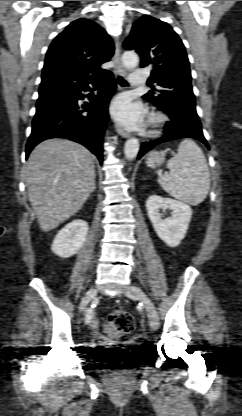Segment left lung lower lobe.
<instances>
[{
    "label": "left lung lower lobe",
    "mask_w": 242,
    "mask_h": 416,
    "mask_svg": "<svg viewBox=\"0 0 242 416\" xmlns=\"http://www.w3.org/2000/svg\"><path fill=\"white\" fill-rule=\"evenodd\" d=\"M167 114L171 118V121L164 127V132L166 134L159 139L144 142L141 145L138 159L160 143L181 138L196 139L209 148V145L203 135L201 123L196 111L190 108H185L183 110L172 111Z\"/></svg>",
    "instance_id": "left-lung-lower-lobe-1"
}]
</instances>
